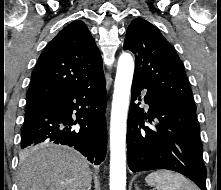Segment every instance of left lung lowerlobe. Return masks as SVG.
I'll return each mask as SVG.
<instances>
[{"label":"left lung lower lobe","instance_id":"1","mask_svg":"<svg viewBox=\"0 0 221 190\" xmlns=\"http://www.w3.org/2000/svg\"><path fill=\"white\" fill-rule=\"evenodd\" d=\"M150 105L144 113L139 104L141 91ZM132 104L127 123V160L135 173L154 169L179 172L206 190L207 170L203 162V146L196 112L169 102L161 93L133 77ZM147 119L151 125H144ZM154 119L156 121L154 122Z\"/></svg>","mask_w":221,"mask_h":190}]
</instances>
